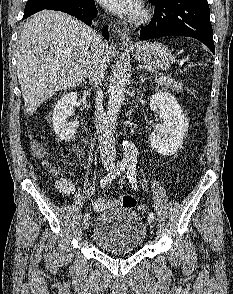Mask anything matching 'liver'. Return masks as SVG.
I'll return each mask as SVG.
<instances>
[{"label":"liver","instance_id":"1","mask_svg":"<svg viewBox=\"0 0 233 294\" xmlns=\"http://www.w3.org/2000/svg\"><path fill=\"white\" fill-rule=\"evenodd\" d=\"M99 35L69 15L42 11L28 19L17 46V74L26 112L32 115L57 91L82 84ZM112 46L106 43L109 61Z\"/></svg>","mask_w":233,"mask_h":294}]
</instances>
